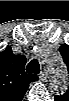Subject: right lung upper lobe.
Masks as SVG:
<instances>
[{"label":"right lung upper lobe","instance_id":"cb5924a9","mask_svg":"<svg viewBox=\"0 0 69 101\" xmlns=\"http://www.w3.org/2000/svg\"><path fill=\"white\" fill-rule=\"evenodd\" d=\"M10 47L6 52H10V60L1 66V94L7 98L21 100L28 89L29 83L37 81L38 77L33 74H26L23 67L26 59L22 55H13Z\"/></svg>","mask_w":69,"mask_h":101}]
</instances>
